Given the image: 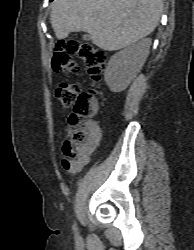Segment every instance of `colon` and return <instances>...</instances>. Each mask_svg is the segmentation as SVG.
Segmentation results:
<instances>
[{
    "label": "colon",
    "mask_w": 194,
    "mask_h": 250,
    "mask_svg": "<svg viewBox=\"0 0 194 250\" xmlns=\"http://www.w3.org/2000/svg\"><path fill=\"white\" fill-rule=\"evenodd\" d=\"M77 60H81L93 80L102 78L106 65L105 53L95 45L68 39L58 43L53 52L51 66L55 73L67 74L78 72ZM57 100L63 109L71 110L68 124L71 127L69 138L63 142V166L77 162L83 153V141L87 130L77 128L97 110L96 95L93 90L80 91L77 83L61 82L55 91Z\"/></svg>",
    "instance_id": "5ec220e1"
}]
</instances>
